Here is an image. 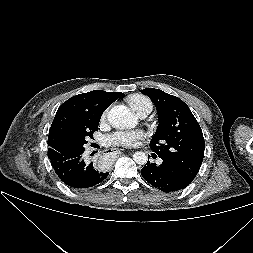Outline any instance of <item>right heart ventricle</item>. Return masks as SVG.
Instances as JSON below:
<instances>
[{"instance_id":"right-heart-ventricle-1","label":"right heart ventricle","mask_w":253,"mask_h":253,"mask_svg":"<svg viewBox=\"0 0 253 253\" xmlns=\"http://www.w3.org/2000/svg\"><path fill=\"white\" fill-rule=\"evenodd\" d=\"M127 102L129 106L135 112L139 113L144 109H152L151 101L144 95L141 94H133L127 98Z\"/></svg>"}]
</instances>
